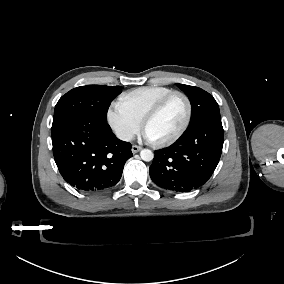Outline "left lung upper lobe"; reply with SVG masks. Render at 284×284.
I'll list each match as a JSON object with an SVG mask.
<instances>
[{
    "mask_svg": "<svg viewBox=\"0 0 284 284\" xmlns=\"http://www.w3.org/2000/svg\"><path fill=\"white\" fill-rule=\"evenodd\" d=\"M191 102L192 114L189 126L212 118L220 119L219 106L212 95L201 88L177 84Z\"/></svg>",
    "mask_w": 284,
    "mask_h": 284,
    "instance_id": "5c2ea615",
    "label": "left lung upper lobe"
}]
</instances>
